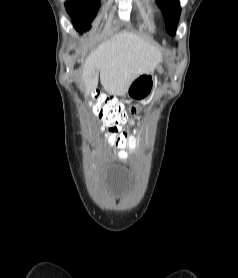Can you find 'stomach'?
<instances>
[{
  "instance_id": "1",
  "label": "stomach",
  "mask_w": 238,
  "mask_h": 278,
  "mask_svg": "<svg viewBox=\"0 0 238 278\" xmlns=\"http://www.w3.org/2000/svg\"><path fill=\"white\" fill-rule=\"evenodd\" d=\"M154 86L153 74L143 73L131 82L126 95L132 100H145L152 94Z\"/></svg>"
}]
</instances>
